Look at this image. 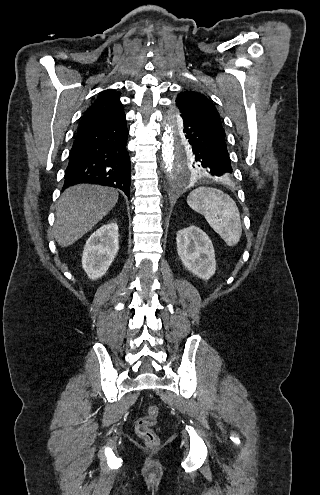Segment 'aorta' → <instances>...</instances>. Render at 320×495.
Masks as SVG:
<instances>
[{
  "mask_svg": "<svg viewBox=\"0 0 320 495\" xmlns=\"http://www.w3.org/2000/svg\"><path fill=\"white\" fill-rule=\"evenodd\" d=\"M174 122V119L167 123L163 129V134H162V156H163V162L165 169L167 172H171L173 168V161H174V136H173V130H174V125L172 123ZM188 179H180L177 183V187H181L185 182H187Z\"/></svg>",
  "mask_w": 320,
  "mask_h": 495,
  "instance_id": "1",
  "label": "aorta"
}]
</instances>
